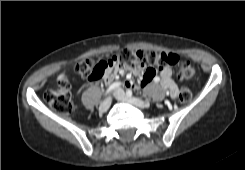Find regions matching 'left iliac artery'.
I'll return each instance as SVG.
<instances>
[{"instance_id":"left-iliac-artery-1","label":"left iliac artery","mask_w":245,"mask_h":170,"mask_svg":"<svg viewBox=\"0 0 245 170\" xmlns=\"http://www.w3.org/2000/svg\"><path fill=\"white\" fill-rule=\"evenodd\" d=\"M126 94H127L128 97H131L132 96V91L129 89V90H127Z\"/></svg>"}]
</instances>
